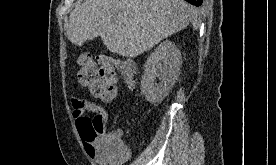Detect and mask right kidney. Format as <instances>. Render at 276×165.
Masks as SVG:
<instances>
[{
  "instance_id": "right-kidney-1",
  "label": "right kidney",
  "mask_w": 276,
  "mask_h": 165,
  "mask_svg": "<svg viewBox=\"0 0 276 165\" xmlns=\"http://www.w3.org/2000/svg\"><path fill=\"white\" fill-rule=\"evenodd\" d=\"M182 56L175 44L162 42L147 58L141 80V93L150 103L161 102L173 87L180 74ZM156 77L159 83L155 82Z\"/></svg>"
}]
</instances>
